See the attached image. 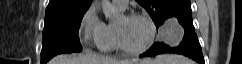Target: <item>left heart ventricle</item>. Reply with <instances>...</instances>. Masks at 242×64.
Returning <instances> with one entry per match:
<instances>
[{
	"mask_svg": "<svg viewBox=\"0 0 242 64\" xmlns=\"http://www.w3.org/2000/svg\"><path fill=\"white\" fill-rule=\"evenodd\" d=\"M123 42L132 48L141 47L149 37L148 24L140 19H127L122 16L116 23Z\"/></svg>",
	"mask_w": 242,
	"mask_h": 64,
	"instance_id": "left-heart-ventricle-1",
	"label": "left heart ventricle"
}]
</instances>
